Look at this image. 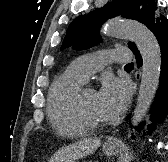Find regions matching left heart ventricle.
<instances>
[{
	"label": "left heart ventricle",
	"mask_w": 168,
	"mask_h": 162,
	"mask_svg": "<svg viewBox=\"0 0 168 162\" xmlns=\"http://www.w3.org/2000/svg\"><path fill=\"white\" fill-rule=\"evenodd\" d=\"M83 105L85 113L90 119L97 122L105 121L100 113L96 91L89 89L85 92Z\"/></svg>",
	"instance_id": "1"
}]
</instances>
